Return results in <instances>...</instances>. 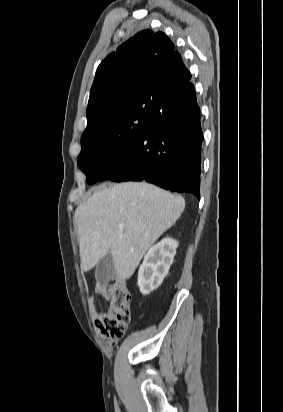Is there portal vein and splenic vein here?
I'll use <instances>...</instances> for the list:
<instances>
[{
  "label": "portal vein and splenic vein",
  "instance_id": "obj_1",
  "mask_svg": "<svg viewBox=\"0 0 283 412\" xmlns=\"http://www.w3.org/2000/svg\"><path fill=\"white\" fill-rule=\"evenodd\" d=\"M123 227H124L123 224H119L120 229H123Z\"/></svg>",
  "mask_w": 283,
  "mask_h": 412
}]
</instances>
